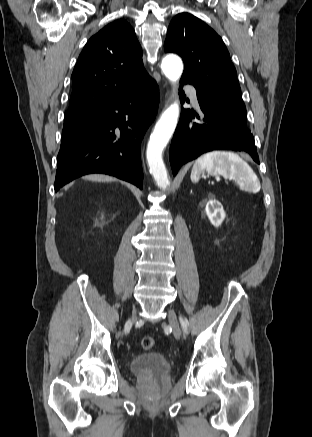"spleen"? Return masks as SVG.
Returning a JSON list of instances; mask_svg holds the SVG:
<instances>
[{
	"label": "spleen",
	"mask_w": 312,
	"mask_h": 437,
	"mask_svg": "<svg viewBox=\"0 0 312 437\" xmlns=\"http://www.w3.org/2000/svg\"><path fill=\"white\" fill-rule=\"evenodd\" d=\"M204 170L211 175L233 179L248 191L260 190V182L252 168L234 152L212 151L199 157L191 171L192 182H198Z\"/></svg>",
	"instance_id": "spleen-1"
}]
</instances>
